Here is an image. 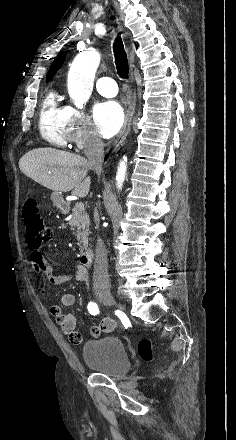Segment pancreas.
Instances as JSON below:
<instances>
[{
  "label": "pancreas",
  "instance_id": "pancreas-1",
  "mask_svg": "<svg viewBox=\"0 0 236 440\" xmlns=\"http://www.w3.org/2000/svg\"><path fill=\"white\" fill-rule=\"evenodd\" d=\"M68 224L79 242L78 244L80 245V251L87 249L88 247L87 236L90 225V220L87 213L79 211L74 208L72 210L71 218Z\"/></svg>",
  "mask_w": 236,
  "mask_h": 440
}]
</instances>
